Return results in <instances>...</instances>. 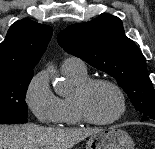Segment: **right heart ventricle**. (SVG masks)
Segmentation results:
<instances>
[{"mask_svg":"<svg viewBox=\"0 0 155 149\" xmlns=\"http://www.w3.org/2000/svg\"><path fill=\"white\" fill-rule=\"evenodd\" d=\"M71 81L76 85H80L81 83L87 81L88 75L85 73H77V72H64ZM59 123L66 126H74L78 125L82 122L75 106L73 103V96H66L59 98Z\"/></svg>","mask_w":155,"mask_h":149,"instance_id":"right-heart-ventricle-1","label":"right heart ventricle"}]
</instances>
